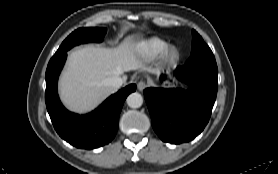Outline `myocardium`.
Instances as JSON below:
<instances>
[{"instance_id":"myocardium-1","label":"myocardium","mask_w":278,"mask_h":174,"mask_svg":"<svg viewBox=\"0 0 278 174\" xmlns=\"http://www.w3.org/2000/svg\"><path fill=\"white\" fill-rule=\"evenodd\" d=\"M160 59L165 65H173L179 59L178 50L174 46H167L161 52Z\"/></svg>"}]
</instances>
